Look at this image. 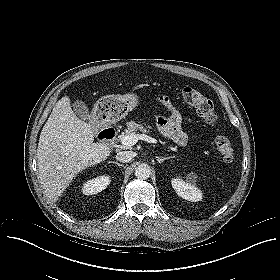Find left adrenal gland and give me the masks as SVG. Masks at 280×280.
Here are the masks:
<instances>
[{"label":"left adrenal gland","instance_id":"1","mask_svg":"<svg viewBox=\"0 0 280 280\" xmlns=\"http://www.w3.org/2000/svg\"><path fill=\"white\" fill-rule=\"evenodd\" d=\"M156 158H157L156 160H157L159 163H163L165 160L174 158V156H169V157H156Z\"/></svg>","mask_w":280,"mask_h":280}]
</instances>
